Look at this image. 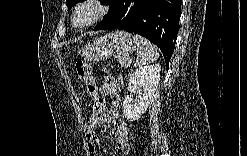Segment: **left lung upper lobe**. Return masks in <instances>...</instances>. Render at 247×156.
<instances>
[{"mask_svg":"<svg viewBox=\"0 0 247 156\" xmlns=\"http://www.w3.org/2000/svg\"><path fill=\"white\" fill-rule=\"evenodd\" d=\"M117 1L118 0H109L107 2L109 4V11L113 8ZM77 2H79V0H66V5L69 9H71Z\"/></svg>","mask_w":247,"mask_h":156,"instance_id":"5c2ea615","label":"left lung upper lobe"}]
</instances>
